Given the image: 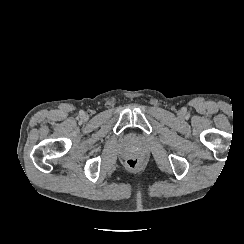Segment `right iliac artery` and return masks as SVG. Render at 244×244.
<instances>
[{"mask_svg": "<svg viewBox=\"0 0 244 244\" xmlns=\"http://www.w3.org/2000/svg\"><path fill=\"white\" fill-rule=\"evenodd\" d=\"M84 114V111H80V115H83Z\"/></svg>", "mask_w": 244, "mask_h": 244, "instance_id": "82829eb1", "label": "right iliac artery"}]
</instances>
